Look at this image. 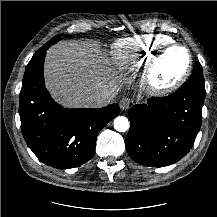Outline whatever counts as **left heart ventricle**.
Instances as JSON below:
<instances>
[{
    "label": "left heart ventricle",
    "instance_id": "1",
    "mask_svg": "<svg viewBox=\"0 0 217 217\" xmlns=\"http://www.w3.org/2000/svg\"><path fill=\"white\" fill-rule=\"evenodd\" d=\"M187 55L183 50L169 52L161 61L156 81L159 84H166L176 78L186 67Z\"/></svg>",
    "mask_w": 217,
    "mask_h": 217
}]
</instances>
